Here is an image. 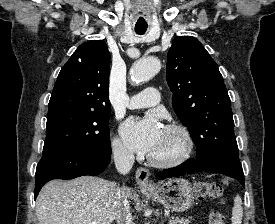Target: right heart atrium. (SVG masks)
Instances as JSON below:
<instances>
[{"mask_svg": "<svg viewBox=\"0 0 275 224\" xmlns=\"http://www.w3.org/2000/svg\"><path fill=\"white\" fill-rule=\"evenodd\" d=\"M112 150L116 157L121 159L130 158L131 154L121 139L115 137L112 141Z\"/></svg>", "mask_w": 275, "mask_h": 224, "instance_id": "right-heart-atrium-1", "label": "right heart atrium"}]
</instances>
